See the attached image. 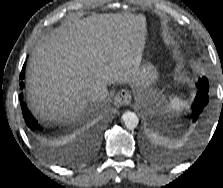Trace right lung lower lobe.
Listing matches in <instances>:
<instances>
[{
    "instance_id": "obj_1",
    "label": "right lung lower lobe",
    "mask_w": 223,
    "mask_h": 188,
    "mask_svg": "<svg viewBox=\"0 0 223 188\" xmlns=\"http://www.w3.org/2000/svg\"><path fill=\"white\" fill-rule=\"evenodd\" d=\"M24 72H25V65L23 66V69L20 74V79H24ZM21 88L24 87V82L20 83ZM20 103L23 110V117L26 122V126L28 129L29 134L32 136V138L41 145L46 151L53 153V159L55 162L62 164V165H72L76 164L78 162H81L83 158L79 157H66L62 154L56 153V147L59 145L58 141L55 140L48 134L46 131H44L40 125L37 123V121L34 119L30 111L27 109L26 104L23 101V95H20ZM98 144V137L96 135H92L90 137L89 146L92 150H94L97 147ZM56 153V154H55Z\"/></svg>"
}]
</instances>
